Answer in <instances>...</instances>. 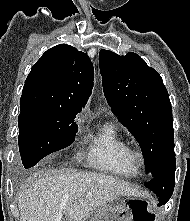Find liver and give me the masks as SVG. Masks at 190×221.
I'll return each mask as SVG.
<instances>
[{
    "mask_svg": "<svg viewBox=\"0 0 190 221\" xmlns=\"http://www.w3.org/2000/svg\"><path fill=\"white\" fill-rule=\"evenodd\" d=\"M92 192V196L85 195ZM139 196L129 183L96 172L40 170L18 197L20 221H84L93 208L99 210L115 197Z\"/></svg>",
    "mask_w": 190,
    "mask_h": 221,
    "instance_id": "6515ba94",
    "label": "liver"
}]
</instances>
